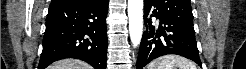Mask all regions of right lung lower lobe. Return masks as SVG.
Wrapping results in <instances>:
<instances>
[{"label": "right lung lower lobe", "instance_id": "obj_1", "mask_svg": "<svg viewBox=\"0 0 246 69\" xmlns=\"http://www.w3.org/2000/svg\"><path fill=\"white\" fill-rule=\"evenodd\" d=\"M108 0L89 4L50 5L38 69L64 58L106 69Z\"/></svg>", "mask_w": 246, "mask_h": 69}]
</instances>
